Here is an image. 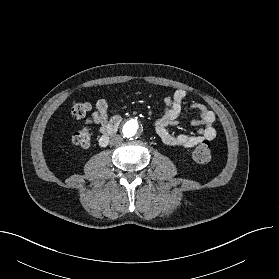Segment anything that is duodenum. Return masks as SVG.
I'll list each match as a JSON object with an SVG mask.
<instances>
[{
	"label": "duodenum",
	"mask_w": 279,
	"mask_h": 279,
	"mask_svg": "<svg viewBox=\"0 0 279 279\" xmlns=\"http://www.w3.org/2000/svg\"><path fill=\"white\" fill-rule=\"evenodd\" d=\"M121 123V118L116 116L108 125L106 131L99 139V144L101 146H107L111 137L117 132Z\"/></svg>",
	"instance_id": "1"
}]
</instances>
